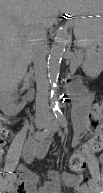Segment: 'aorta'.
I'll list each match as a JSON object with an SVG mask.
<instances>
[{
  "mask_svg": "<svg viewBox=\"0 0 103 193\" xmlns=\"http://www.w3.org/2000/svg\"><path fill=\"white\" fill-rule=\"evenodd\" d=\"M69 33L65 26L58 28L48 58V77L52 87H56L58 81L61 60L66 50Z\"/></svg>",
  "mask_w": 103,
  "mask_h": 193,
  "instance_id": "1",
  "label": "aorta"
}]
</instances>
